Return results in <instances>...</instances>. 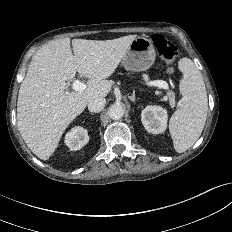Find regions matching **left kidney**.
<instances>
[{"instance_id":"obj_1","label":"left kidney","mask_w":232,"mask_h":232,"mask_svg":"<svg viewBox=\"0 0 232 232\" xmlns=\"http://www.w3.org/2000/svg\"><path fill=\"white\" fill-rule=\"evenodd\" d=\"M167 110L160 106H147L142 110L141 121L144 128L153 134L163 133L167 127Z\"/></svg>"}]
</instances>
